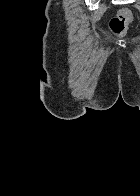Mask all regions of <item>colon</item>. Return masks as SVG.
<instances>
[{"mask_svg":"<svg viewBox=\"0 0 140 196\" xmlns=\"http://www.w3.org/2000/svg\"><path fill=\"white\" fill-rule=\"evenodd\" d=\"M133 13L130 9L124 8L117 12L109 21V28L118 37H123L129 25L133 21Z\"/></svg>","mask_w":140,"mask_h":196,"instance_id":"obj_1","label":"colon"}]
</instances>
